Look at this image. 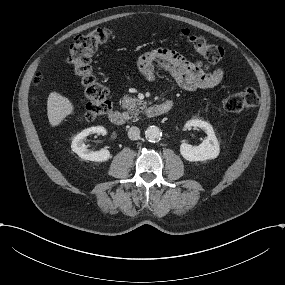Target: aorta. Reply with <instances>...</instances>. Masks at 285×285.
<instances>
[{
    "instance_id": "1",
    "label": "aorta",
    "mask_w": 285,
    "mask_h": 285,
    "mask_svg": "<svg viewBox=\"0 0 285 285\" xmlns=\"http://www.w3.org/2000/svg\"><path fill=\"white\" fill-rule=\"evenodd\" d=\"M162 133L160 129L156 126H150L145 131V137L147 140L154 142L160 140Z\"/></svg>"
}]
</instances>
